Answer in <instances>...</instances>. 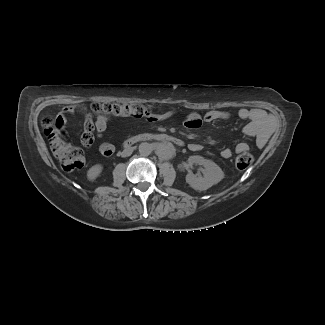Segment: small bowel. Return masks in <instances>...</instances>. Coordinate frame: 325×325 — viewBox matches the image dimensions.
Wrapping results in <instances>:
<instances>
[{
    "mask_svg": "<svg viewBox=\"0 0 325 325\" xmlns=\"http://www.w3.org/2000/svg\"><path fill=\"white\" fill-rule=\"evenodd\" d=\"M76 106L69 105L64 107L55 118V129L64 138L67 145L76 146L78 144V139L76 137H71L67 132V125L65 118L68 115L74 113ZM175 114L174 111L168 112L164 115H154L152 120H161L170 118ZM238 117L242 120H248L249 123L245 126L244 132L248 135H257V143L261 145L268 134L272 120L271 118L261 109H247L242 108L237 113ZM230 113L225 110H211L200 115L196 112L190 113L185 118V126L189 129H199L203 124L225 121L230 118ZM107 119L103 116H97L95 120L91 117H85L84 121V133L82 135V143L86 147L92 146L96 139H101L104 132L107 129ZM190 150L199 151L202 149V145L199 143H191L189 145ZM98 149L103 157H111L115 152V146L111 143L101 141L98 144ZM249 149L248 144L241 142L235 147L237 153L247 151ZM232 156V151L228 148L221 151V157L224 159H229Z\"/></svg>",
    "mask_w": 325,
    "mask_h": 325,
    "instance_id": "1",
    "label": "small bowel"
}]
</instances>
